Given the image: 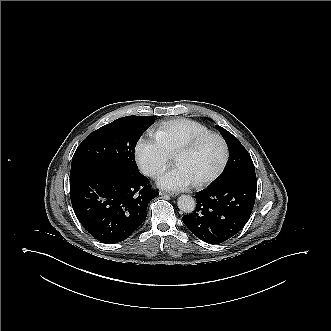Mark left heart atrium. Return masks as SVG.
<instances>
[{"instance_id": "39dd6f15", "label": "left heart atrium", "mask_w": 331, "mask_h": 331, "mask_svg": "<svg viewBox=\"0 0 331 331\" xmlns=\"http://www.w3.org/2000/svg\"><path fill=\"white\" fill-rule=\"evenodd\" d=\"M158 184L170 190H185L192 187L194 180L182 167H175L163 173Z\"/></svg>"}]
</instances>
